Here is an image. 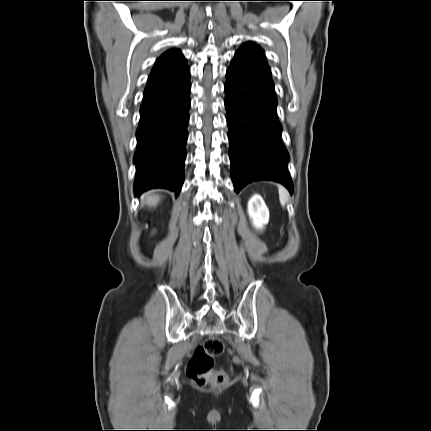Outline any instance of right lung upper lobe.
<instances>
[{
    "instance_id": "obj_1",
    "label": "right lung upper lobe",
    "mask_w": 431,
    "mask_h": 431,
    "mask_svg": "<svg viewBox=\"0 0 431 431\" xmlns=\"http://www.w3.org/2000/svg\"><path fill=\"white\" fill-rule=\"evenodd\" d=\"M188 75H190V70L185 62L184 55L175 49L166 51L157 60L152 69L143 100L165 92Z\"/></svg>"
}]
</instances>
